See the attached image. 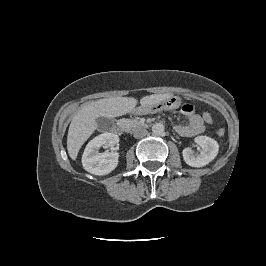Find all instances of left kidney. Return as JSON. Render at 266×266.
<instances>
[{"label":"left kidney","instance_id":"obj_1","mask_svg":"<svg viewBox=\"0 0 266 266\" xmlns=\"http://www.w3.org/2000/svg\"><path fill=\"white\" fill-rule=\"evenodd\" d=\"M195 142L202 148L199 155H194L191 148H185L182 152L183 159L191 167H203L210 163L218 154L217 141L207 136H198Z\"/></svg>","mask_w":266,"mask_h":266}]
</instances>
